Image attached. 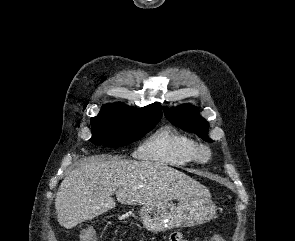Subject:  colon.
<instances>
[{
    "label": "colon",
    "mask_w": 295,
    "mask_h": 241,
    "mask_svg": "<svg viewBox=\"0 0 295 241\" xmlns=\"http://www.w3.org/2000/svg\"><path fill=\"white\" fill-rule=\"evenodd\" d=\"M83 241H96V231L94 229H87L83 235ZM170 241H186L182 234L173 233L170 237ZM210 241H226L222 237H213Z\"/></svg>",
    "instance_id": "colon-1"
}]
</instances>
